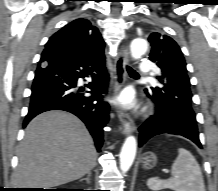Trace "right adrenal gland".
<instances>
[{
	"instance_id": "right-adrenal-gland-1",
	"label": "right adrenal gland",
	"mask_w": 218,
	"mask_h": 191,
	"mask_svg": "<svg viewBox=\"0 0 218 191\" xmlns=\"http://www.w3.org/2000/svg\"><path fill=\"white\" fill-rule=\"evenodd\" d=\"M91 172L87 174L86 178L81 179L80 181L86 180L87 183H90Z\"/></svg>"
}]
</instances>
